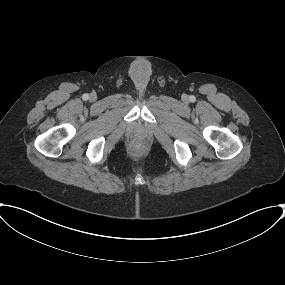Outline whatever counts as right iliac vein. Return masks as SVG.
Segmentation results:
<instances>
[{
  "label": "right iliac vein",
  "mask_w": 285,
  "mask_h": 285,
  "mask_svg": "<svg viewBox=\"0 0 285 285\" xmlns=\"http://www.w3.org/2000/svg\"><path fill=\"white\" fill-rule=\"evenodd\" d=\"M90 99H91V100H95V99H96V96H95L94 94H92V95L90 96Z\"/></svg>",
  "instance_id": "1"
}]
</instances>
